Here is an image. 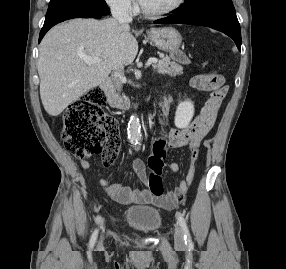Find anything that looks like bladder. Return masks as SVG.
Returning a JSON list of instances; mask_svg holds the SVG:
<instances>
[{"label":"bladder","instance_id":"1","mask_svg":"<svg viewBox=\"0 0 286 269\" xmlns=\"http://www.w3.org/2000/svg\"><path fill=\"white\" fill-rule=\"evenodd\" d=\"M125 222L141 233L152 234L161 228L162 215L154 207L134 206L126 210Z\"/></svg>","mask_w":286,"mask_h":269}]
</instances>
